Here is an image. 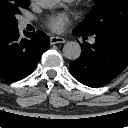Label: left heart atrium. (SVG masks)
<instances>
[{
  "instance_id": "1",
  "label": "left heart atrium",
  "mask_w": 128,
  "mask_h": 128,
  "mask_svg": "<svg viewBox=\"0 0 128 128\" xmlns=\"http://www.w3.org/2000/svg\"><path fill=\"white\" fill-rule=\"evenodd\" d=\"M69 24L68 16L64 14L52 15L47 19V25L55 32H61Z\"/></svg>"
}]
</instances>
